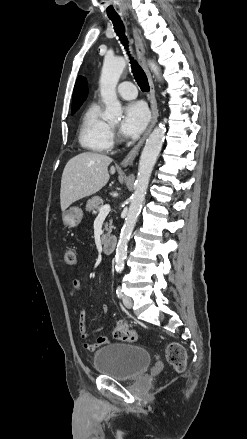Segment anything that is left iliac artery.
<instances>
[{
  "label": "left iliac artery",
  "mask_w": 247,
  "mask_h": 439,
  "mask_svg": "<svg viewBox=\"0 0 247 439\" xmlns=\"http://www.w3.org/2000/svg\"><path fill=\"white\" fill-rule=\"evenodd\" d=\"M116 294L118 298H121L123 296V290L120 286L117 287Z\"/></svg>",
  "instance_id": "44dca946"
}]
</instances>
